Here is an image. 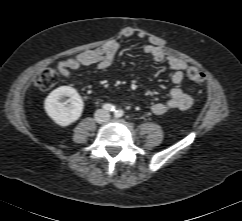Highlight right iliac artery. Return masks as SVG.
Instances as JSON below:
<instances>
[{
	"instance_id": "obj_1",
	"label": "right iliac artery",
	"mask_w": 242,
	"mask_h": 221,
	"mask_svg": "<svg viewBox=\"0 0 242 221\" xmlns=\"http://www.w3.org/2000/svg\"><path fill=\"white\" fill-rule=\"evenodd\" d=\"M103 109L111 112V111H115L116 107L112 104L106 103V104L103 105Z\"/></svg>"
}]
</instances>
